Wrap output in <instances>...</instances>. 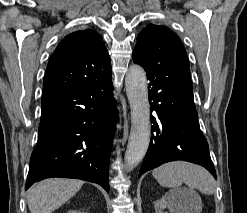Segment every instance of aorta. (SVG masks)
<instances>
[{
  "label": "aorta",
  "instance_id": "1",
  "mask_svg": "<svg viewBox=\"0 0 247 213\" xmlns=\"http://www.w3.org/2000/svg\"><path fill=\"white\" fill-rule=\"evenodd\" d=\"M125 86L131 109V132L125 153V166L131 171L144 158L150 142V106L144 69L132 65L126 75Z\"/></svg>",
  "mask_w": 247,
  "mask_h": 213
}]
</instances>
